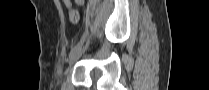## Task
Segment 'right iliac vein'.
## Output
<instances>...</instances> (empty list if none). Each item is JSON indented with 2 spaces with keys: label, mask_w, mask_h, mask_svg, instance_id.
Returning <instances> with one entry per match:
<instances>
[{
  "label": "right iliac vein",
  "mask_w": 209,
  "mask_h": 90,
  "mask_svg": "<svg viewBox=\"0 0 209 90\" xmlns=\"http://www.w3.org/2000/svg\"><path fill=\"white\" fill-rule=\"evenodd\" d=\"M86 47H84L83 49H80L79 51H77L73 56L70 57L69 63L72 64L75 61H77V59L81 56V54L83 53V51L85 50Z\"/></svg>",
  "instance_id": "1"
}]
</instances>
